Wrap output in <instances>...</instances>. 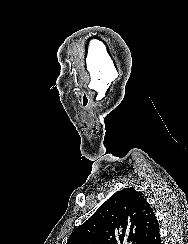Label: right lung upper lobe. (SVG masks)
<instances>
[{
  "mask_svg": "<svg viewBox=\"0 0 188 244\" xmlns=\"http://www.w3.org/2000/svg\"><path fill=\"white\" fill-rule=\"evenodd\" d=\"M157 226L153 209L130 187L105 201L70 235L67 244H145Z\"/></svg>",
  "mask_w": 188,
  "mask_h": 244,
  "instance_id": "right-lung-upper-lobe-1",
  "label": "right lung upper lobe"
}]
</instances>
